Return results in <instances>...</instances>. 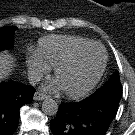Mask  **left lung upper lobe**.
Listing matches in <instances>:
<instances>
[{"label": "left lung upper lobe", "mask_w": 135, "mask_h": 135, "mask_svg": "<svg viewBox=\"0 0 135 135\" xmlns=\"http://www.w3.org/2000/svg\"><path fill=\"white\" fill-rule=\"evenodd\" d=\"M102 87H108V88L121 87L119 73L118 72L114 73L112 77Z\"/></svg>", "instance_id": "5c2ea615"}]
</instances>
